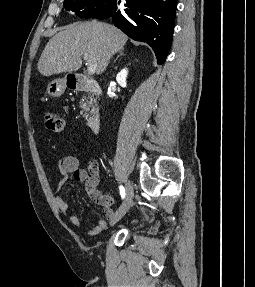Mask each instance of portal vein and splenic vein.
Wrapping results in <instances>:
<instances>
[{
	"mask_svg": "<svg viewBox=\"0 0 255 287\" xmlns=\"http://www.w3.org/2000/svg\"><path fill=\"white\" fill-rule=\"evenodd\" d=\"M84 60H86L88 64V74H94L97 68V62L93 56H89V54H83Z\"/></svg>",
	"mask_w": 255,
	"mask_h": 287,
	"instance_id": "18ae733b",
	"label": "portal vein and splenic vein"
}]
</instances>
